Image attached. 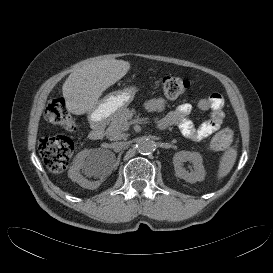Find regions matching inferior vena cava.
Instances as JSON below:
<instances>
[{"label":"inferior vena cava","instance_id":"602c4592","mask_svg":"<svg viewBox=\"0 0 273 273\" xmlns=\"http://www.w3.org/2000/svg\"><path fill=\"white\" fill-rule=\"evenodd\" d=\"M128 143L127 142H115L112 144V148L115 150H122L127 148Z\"/></svg>","mask_w":273,"mask_h":273}]
</instances>
